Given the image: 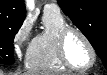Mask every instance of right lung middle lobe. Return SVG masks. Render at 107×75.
Masks as SVG:
<instances>
[{"instance_id":"dd1d6c3e","label":"right lung middle lobe","mask_w":107,"mask_h":75,"mask_svg":"<svg viewBox=\"0 0 107 75\" xmlns=\"http://www.w3.org/2000/svg\"><path fill=\"white\" fill-rule=\"evenodd\" d=\"M22 23L12 24L0 28V64H13L14 37Z\"/></svg>"}]
</instances>
